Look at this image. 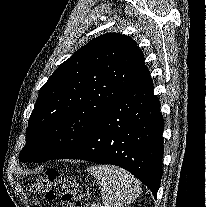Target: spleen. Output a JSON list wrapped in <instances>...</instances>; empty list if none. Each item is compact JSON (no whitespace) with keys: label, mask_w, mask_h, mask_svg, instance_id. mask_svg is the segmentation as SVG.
I'll return each instance as SVG.
<instances>
[{"label":"spleen","mask_w":206,"mask_h":207,"mask_svg":"<svg viewBox=\"0 0 206 207\" xmlns=\"http://www.w3.org/2000/svg\"><path fill=\"white\" fill-rule=\"evenodd\" d=\"M87 172L97 179L104 205L102 207H124L139 196V181L122 168L97 165L89 167Z\"/></svg>","instance_id":"1"}]
</instances>
